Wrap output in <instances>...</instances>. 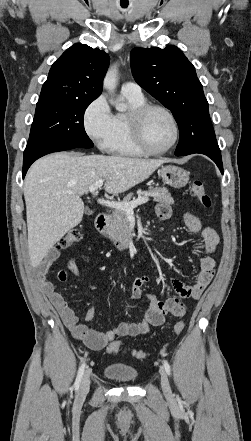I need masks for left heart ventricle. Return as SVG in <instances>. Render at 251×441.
Here are the masks:
<instances>
[{
  "label": "left heart ventricle",
  "mask_w": 251,
  "mask_h": 441,
  "mask_svg": "<svg viewBox=\"0 0 251 441\" xmlns=\"http://www.w3.org/2000/svg\"><path fill=\"white\" fill-rule=\"evenodd\" d=\"M144 135L151 147L155 149L167 147L174 137L170 118L160 110L151 111L144 121Z\"/></svg>",
  "instance_id": "left-heart-ventricle-1"
}]
</instances>
